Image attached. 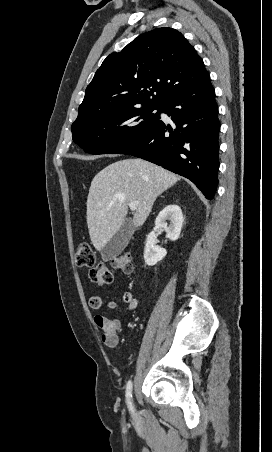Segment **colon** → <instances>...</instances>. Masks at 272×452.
<instances>
[{
	"label": "colon",
	"instance_id": "1",
	"mask_svg": "<svg viewBox=\"0 0 272 452\" xmlns=\"http://www.w3.org/2000/svg\"><path fill=\"white\" fill-rule=\"evenodd\" d=\"M75 264L90 270V279L98 285H109L113 282L115 270L126 274L132 272V258L130 253H123L111 258L110 267L98 263L94 250L87 242L78 244L75 253Z\"/></svg>",
	"mask_w": 272,
	"mask_h": 452
}]
</instances>
